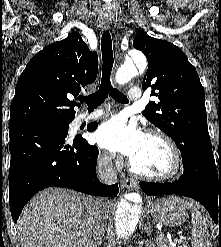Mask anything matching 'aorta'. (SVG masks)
<instances>
[{"mask_svg":"<svg viewBox=\"0 0 221 247\" xmlns=\"http://www.w3.org/2000/svg\"><path fill=\"white\" fill-rule=\"evenodd\" d=\"M127 72L131 74L136 68L143 72L147 61L144 55L137 51H130L126 58ZM141 214V206L121 199L115 215V233L118 238L130 236L136 229Z\"/></svg>","mask_w":221,"mask_h":247,"instance_id":"aorta-1","label":"aorta"}]
</instances>
